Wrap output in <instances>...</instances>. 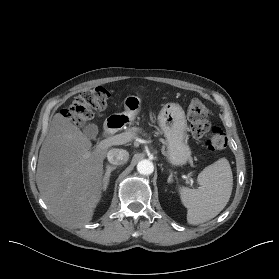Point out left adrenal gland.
<instances>
[{"label": "left adrenal gland", "mask_w": 279, "mask_h": 279, "mask_svg": "<svg viewBox=\"0 0 279 279\" xmlns=\"http://www.w3.org/2000/svg\"><path fill=\"white\" fill-rule=\"evenodd\" d=\"M172 181H173V173L170 171V175H169V177L167 179V182L170 183Z\"/></svg>", "instance_id": "1"}]
</instances>
